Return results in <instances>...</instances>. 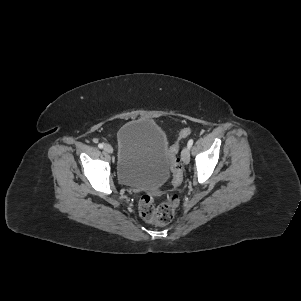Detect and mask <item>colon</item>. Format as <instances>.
I'll return each mask as SVG.
<instances>
[{
	"instance_id": "5ec220e1",
	"label": "colon",
	"mask_w": 301,
	"mask_h": 301,
	"mask_svg": "<svg viewBox=\"0 0 301 301\" xmlns=\"http://www.w3.org/2000/svg\"><path fill=\"white\" fill-rule=\"evenodd\" d=\"M191 134L190 128H184L180 131L178 140L169 148V158L171 171L173 174V182L178 185L183 178V168L178 157L179 141ZM179 204V195L177 192L168 194L166 200L159 205H155L150 195H143L139 201L140 216L157 225H166L170 223L174 217L175 210Z\"/></svg>"
}]
</instances>
